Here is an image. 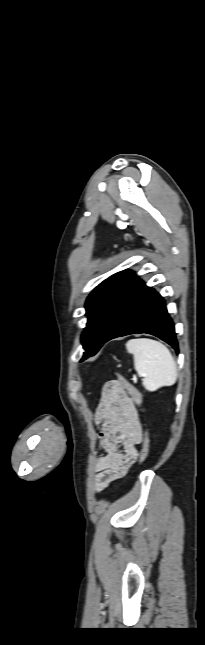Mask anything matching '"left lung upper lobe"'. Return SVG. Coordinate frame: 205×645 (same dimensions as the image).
Returning a JSON list of instances; mask_svg holds the SVG:
<instances>
[{
  "mask_svg": "<svg viewBox=\"0 0 205 645\" xmlns=\"http://www.w3.org/2000/svg\"><path fill=\"white\" fill-rule=\"evenodd\" d=\"M130 273V270H124L112 275L88 296L85 305L88 322L81 337L86 352L81 361L93 356L101 348L109 326L113 304Z\"/></svg>",
  "mask_w": 205,
  "mask_h": 645,
  "instance_id": "obj_1",
  "label": "left lung upper lobe"
}]
</instances>
